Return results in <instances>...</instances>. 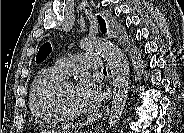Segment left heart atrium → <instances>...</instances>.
I'll use <instances>...</instances> for the list:
<instances>
[{
  "mask_svg": "<svg viewBox=\"0 0 184 133\" xmlns=\"http://www.w3.org/2000/svg\"><path fill=\"white\" fill-rule=\"evenodd\" d=\"M74 99L82 112H93L101 103V93L96 84L88 78L82 79L75 87Z\"/></svg>",
  "mask_w": 184,
  "mask_h": 133,
  "instance_id": "obj_1",
  "label": "left heart atrium"
}]
</instances>
